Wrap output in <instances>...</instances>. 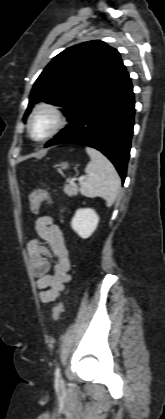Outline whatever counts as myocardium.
I'll return each mask as SVG.
<instances>
[{
    "label": "myocardium",
    "mask_w": 165,
    "mask_h": 419,
    "mask_svg": "<svg viewBox=\"0 0 165 419\" xmlns=\"http://www.w3.org/2000/svg\"><path fill=\"white\" fill-rule=\"evenodd\" d=\"M41 112L50 113L54 119V124L48 133H46L44 136L40 138H36L32 134L31 126H32V122L34 118ZM65 121H66L65 115L60 107H58L57 105L53 103L42 102L36 105L31 111L27 120V131L30 138L33 141L44 142V141L49 140L53 136H55L63 128V126L65 125Z\"/></svg>",
    "instance_id": "myocardium-1"
}]
</instances>
